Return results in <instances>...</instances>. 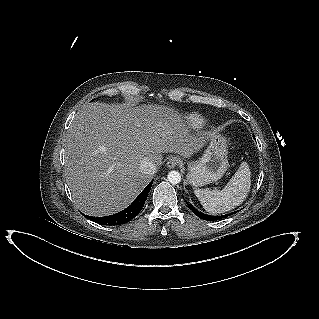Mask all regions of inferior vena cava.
<instances>
[{"instance_id":"1","label":"inferior vena cava","mask_w":319,"mask_h":319,"mask_svg":"<svg viewBox=\"0 0 319 319\" xmlns=\"http://www.w3.org/2000/svg\"><path fill=\"white\" fill-rule=\"evenodd\" d=\"M140 170L144 174L153 175L156 172V164L149 158H144L140 162Z\"/></svg>"}]
</instances>
